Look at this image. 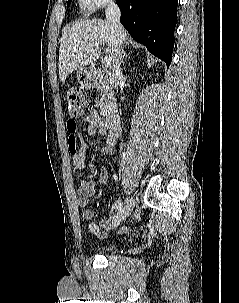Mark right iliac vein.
Returning <instances> with one entry per match:
<instances>
[{
	"instance_id": "obj_1",
	"label": "right iliac vein",
	"mask_w": 239,
	"mask_h": 303,
	"mask_svg": "<svg viewBox=\"0 0 239 303\" xmlns=\"http://www.w3.org/2000/svg\"><path fill=\"white\" fill-rule=\"evenodd\" d=\"M135 206V200L133 197H129L122 209L113 217L110 228H116L120 225L122 221H124L133 211V208Z\"/></svg>"
}]
</instances>
